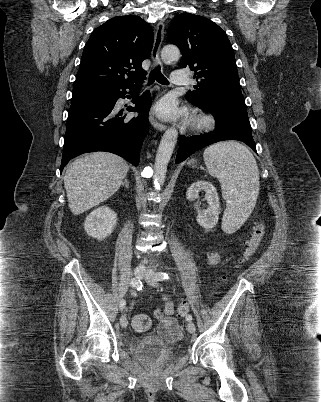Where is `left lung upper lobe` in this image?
<instances>
[{
	"mask_svg": "<svg viewBox=\"0 0 321 402\" xmlns=\"http://www.w3.org/2000/svg\"><path fill=\"white\" fill-rule=\"evenodd\" d=\"M169 41L182 53L181 65L199 79L186 99L204 107L217 96L242 95L233 48L226 33L207 18L185 13L175 17L168 30Z\"/></svg>",
	"mask_w": 321,
	"mask_h": 402,
	"instance_id": "5c2ea615",
	"label": "left lung upper lobe"
}]
</instances>
